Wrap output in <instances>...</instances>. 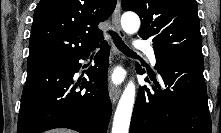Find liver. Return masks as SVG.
I'll list each match as a JSON object with an SVG mask.
<instances>
[{
    "label": "liver",
    "mask_w": 221,
    "mask_h": 133,
    "mask_svg": "<svg viewBox=\"0 0 221 133\" xmlns=\"http://www.w3.org/2000/svg\"><path fill=\"white\" fill-rule=\"evenodd\" d=\"M50 133H72V131L67 129H56L52 130Z\"/></svg>",
    "instance_id": "liver-1"
}]
</instances>
